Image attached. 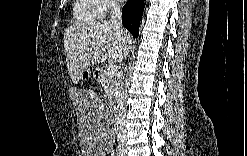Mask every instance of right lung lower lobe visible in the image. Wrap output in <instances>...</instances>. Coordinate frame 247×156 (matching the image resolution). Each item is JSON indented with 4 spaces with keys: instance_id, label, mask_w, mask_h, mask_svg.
<instances>
[{
    "instance_id": "right-lung-lower-lobe-1",
    "label": "right lung lower lobe",
    "mask_w": 247,
    "mask_h": 156,
    "mask_svg": "<svg viewBox=\"0 0 247 156\" xmlns=\"http://www.w3.org/2000/svg\"><path fill=\"white\" fill-rule=\"evenodd\" d=\"M145 3L143 0H128L122 8V24L134 38L139 35V25Z\"/></svg>"
}]
</instances>
